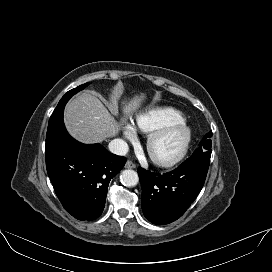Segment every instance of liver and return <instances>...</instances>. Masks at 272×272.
I'll return each mask as SVG.
<instances>
[{
	"label": "liver",
	"instance_id": "liver-1",
	"mask_svg": "<svg viewBox=\"0 0 272 272\" xmlns=\"http://www.w3.org/2000/svg\"><path fill=\"white\" fill-rule=\"evenodd\" d=\"M145 99L146 96L142 93L125 102V115H131ZM64 124L73 138L86 144L102 142L120 131V124L102 102L88 92L78 95L66 105Z\"/></svg>",
	"mask_w": 272,
	"mask_h": 272
}]
</instances>
